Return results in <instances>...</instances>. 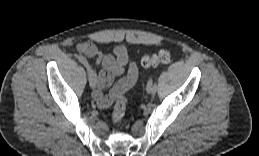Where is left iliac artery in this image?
<instances>
[{
    "label": "left iliac artery",
    "instance_id": "obj_1",
    "mask_svg": "<svg viewBox=\"0 0 259 156\" xmlns=\"http://www.w3.org/2000/svg\"><path fill=\"white\" fill-rule=\"evenodd\" d=\"M159 83V80L158 79H155V84L152 85V90H153V93L154 95H157L158 94V91H157V88H158V84Z\"/></svg>",
    "mask_w": 259,
    "mask_h": 156
}]
</instances>
